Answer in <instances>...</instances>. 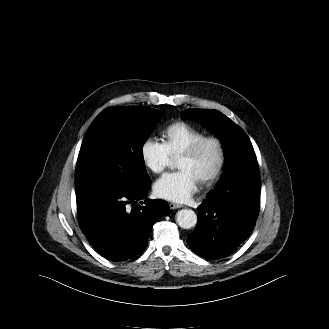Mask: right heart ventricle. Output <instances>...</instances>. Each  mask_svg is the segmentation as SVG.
I'll use <instances>...</instances> for the list:
<instances>
[{
    "mask_svg": "<svg viewBox=\"0 0 329 329\" xmlns=\"http://www.w3.org/2000/svg\"><path fill=\"white\" fill-rule=\"evenodd\" d=\"M205 136V132L189 123L178 121L163 131L164 144L172 157H178L189 145Z\"/></svg>",
    "mask_w": 329,
    "mask_h": 329,
    "instance_id": "right-heart-ventricle-1",
    "label": "right heart ventricle"
}]
</instances>
